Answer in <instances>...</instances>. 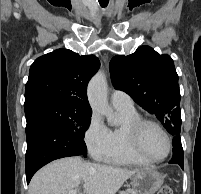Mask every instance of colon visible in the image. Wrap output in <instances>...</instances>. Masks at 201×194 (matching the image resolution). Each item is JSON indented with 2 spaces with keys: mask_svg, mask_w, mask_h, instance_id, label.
Masks as SVG:
<instances>
[{
  "mask_svg": "<svg viewBox=\"0 0 201 194\" xmlns=\"http://www.w3.org/2000/svg\"><path fill=\"white\" fill-rule=\"evenodd\" d=\"M157 194H173L172 189L168 185H163Z\"/></svg>",
  "mask_w": 201,
  "mask_h": 194,
  "instance_id": "1",
  "label": "colon"
}]
</instances>
